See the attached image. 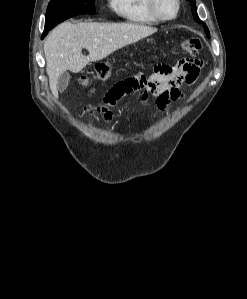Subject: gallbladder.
<instances>
[{
  "label": "gallbladder",
  "mask_w": 247,
  "mask_h": 299,
  "mask_svg": "<svg viewBox=\"0 0 247 299\" xmlns=\"http://www.w3.org/2000/svg\"><path fill=\"white\" fill-rule=\"evenodd\" d=\"M69 81H70V74L68 72L61 73L57 80V89L60 92H63L64 90H66Z\"/></svg>",
  "instance_id": "gallbladder-1"
}]
</instances>
